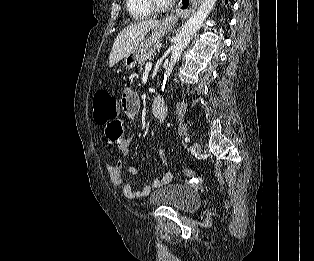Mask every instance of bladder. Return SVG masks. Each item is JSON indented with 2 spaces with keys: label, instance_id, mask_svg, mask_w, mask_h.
<instances>
[{
  "label": "bladder",
  "instance_id": "obj_1",
  "mask_svg": "<svg viewBox=\"0 0 314 261\" xmlns=\"http://www.w3.org/2000/svg\"><path fill=\"white\" fill-rule=\"evenodd\" d=\"M149 200L152 205L170 207L184 213L194 212L201 203L197 191L179 183H169L155 189Z\"/></svg>",
  "mask_w": 314,
  "mask_h": 261
}]
</instances>
